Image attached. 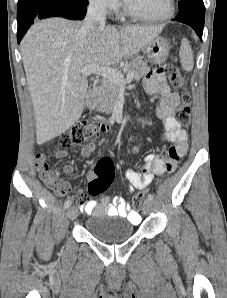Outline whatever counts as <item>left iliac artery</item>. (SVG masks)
Masks as SVG:
<instances>
[{"mask_svg": "<svg viewBox=\"0 0 227 298\" xmlns=\"http://www.w3.org/2000/svg\"><path fill=\"white\" fill-rule=\"evenodd\" d=\"M147 199H148V200H153V195H152V194H149V195L147 196Z\"/></svg>", "mask_w": 227, "mask_h": 298, "instance_id": "44dca946", "label": "left iliac artery"}]
</instances>
